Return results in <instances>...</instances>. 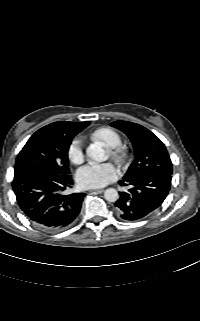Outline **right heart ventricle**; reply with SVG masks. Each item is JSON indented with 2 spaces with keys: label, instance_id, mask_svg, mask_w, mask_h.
<instances>
[{
  "label": "right heart ventricle",
  "instance_id": "1",
  "mask_svg": "<svg viewBox=\"0 0 200 321\" xmlns=\"http://www.w3.org/2000/svg\"><path fill=\"white\" fill-rule=\"evenodd\" d=\"M92 138L95 140L101 141L105 146L112 148L121 143L120 134L110 128V127H101L96 129L92 133Z\"/></svg>",
  "mask_w": 200,
  "mask_h": 321
}]
</instances>
